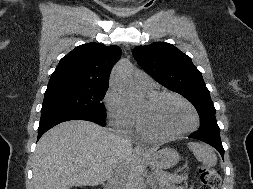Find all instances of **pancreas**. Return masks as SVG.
<instances>
[{
    "label": "pancreas",
    "instance_id": "cf45deb5",
    "mask_svg": "<svg viewBox=\"0 0 253 189\" xmlns=\"http://www.w3.org/2000/svg\"><path fill=\"white\" fill-rule=\"evenodd\" d=\"M155 177L159 186L161 187H164V186L170 187L175 184H180L183 181H186L188 179L187 174L176 175V174H170L168 172H164L162 170H156Z\"/></svg>",
    "mask_w": 253,
    "mask_h": 189
}]
</instances>
